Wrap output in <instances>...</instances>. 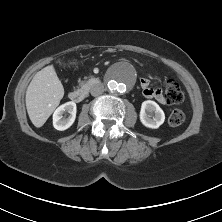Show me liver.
<instances>
[{
    "label": "liver",
    "instance_id": "liver-1",
    "mask_svg": "<svg viewBox=\"0 0 222 222\" xmlns=\"http://www.w3.org/2000/svg\"><path fill=\"white\" fill-rule=\"evenodd\" d=\"M64 88L53 65L38 71L26 91V108L35 127H41L59 105Z\"/></svg>",
    "mask_w": 222,
    "mask_h": 222
}]
</instances>
